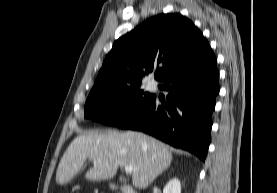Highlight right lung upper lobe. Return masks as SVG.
<instances>
[{
  "mask_svg": "<svg viewBox=\"0 0 277 193\" xmlns=\"http://www.w3.org/2000/svg\"><path fill=\"white\" fill-rule=\"evenodd\" d=\"M209 51L191 20L179 13L156 15L114 42L90 94L141 85L154 69L163 81Z\"/></svg>",
  "mask_w": 277,
  "mask_h": 193,
  "instance_id": "obj_1",
  "label": "right lung upper lobe"
}]
</instances>
